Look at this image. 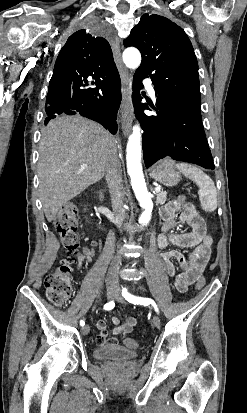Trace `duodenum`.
Listing matches in <instances>:
<instances>
[{"label": "duodenum", "mask_w": 247, "mask_h": 413, "mask_svg": "<svg viewBox=\"0 0 247 413\" xmlns=\"http://www.w3.org/2000/svg\"><path fill=\"white\" fill-rule=\"evenodd\" d=\"M99 227L101 228V227H102V224H99Z\"/></svg>", "instance_id": "duodenum-1"}]
</instances>
